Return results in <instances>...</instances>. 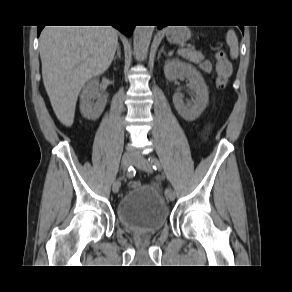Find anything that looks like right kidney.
Here are the masks:
<instances>
[{"mask_svg": "<svg viewBox=\"0 0 292 292\" xmlns=\"http://www.w3.org/2000/svg\"><path fill=\"white\" fill-rule=\"evenodd\" d=\"M96 100V102H95ZM106 98L99 93L98 79L91 80L80 95V111L84 118L96 120L104 111Z\"/></svg>", "mask_w": 292, "mask_h": 292, "instance_id": "obj_1", "label": "right kidney"}]
</instances>
